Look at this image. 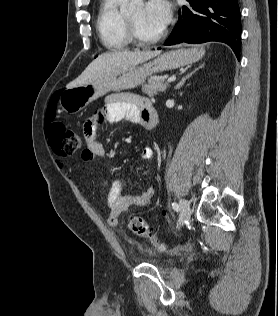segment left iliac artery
<instances>
[{
    "mask_svg": "<svg viewBox=\"0 0 278 316\" xmlns=\"http://www.w3.org/2000/svg\"><path fill=\"white\" fill-rule=\"evenodd\" d=\"M172 208H173L175 211H177V212H178L179 209H180V208H179V205H178L177 203H175V202L172 203Z\"/></svg>",
    "mask_w": 278,
    "mask_h": 316,
    "instance_id": "44dca946",
    "label": "left iliac artery"
}]
</instances>
